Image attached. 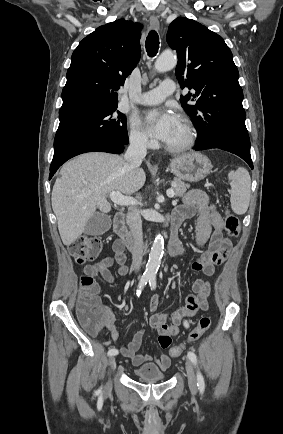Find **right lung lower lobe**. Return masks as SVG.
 <instances>
[{
	"mask_svg": "<svg viewBox=\"0 0 283 434\" xmlns=\"http://www.w3.org/2000/svg\"><path fill=\"white\" fill-rule=\"evenodd\" d=\"M125 145L114 138L104 136L89 137L72 142L54 152L49 179L63 163L76 155L95 151L119 154L123 152Z\"/></svg>",
	"mask_w": 283,
	"mask_h": 434,
	"instance_id": "obj_1",
	"label": "right lung lower lobe"
}]
</instances>
